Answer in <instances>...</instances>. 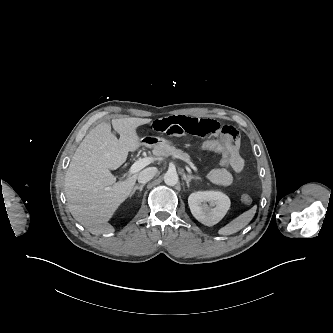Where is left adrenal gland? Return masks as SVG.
Wrapping results in <instances>:
<instances>
[{
  "label": "left adrenal gland",
  "mask_w": 333,
  "mask_h": 333,
  "mask_svg": "<svg viewBox=\"0 0 333 333\" xmlns=\"http://www.w3.org/2000/svg\"><path fill=\"white\" fill-rule=\"evenodd\" d=\"M183 179L186 181L187 186L189 187V183L191 182L192 179H200V177L197 176H191V175H183Z\"/></svg>",
  "instance_id": "obj_1"
}]
</instances>
